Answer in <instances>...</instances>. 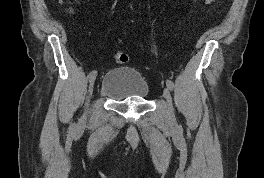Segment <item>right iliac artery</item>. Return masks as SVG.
I'll use <instances>...</instances> for the list:
<instances>
[{"label": "right iliac artery", "instance_id": "right-iliac-artery-1", "mask_svg": "<svg viewBox=\"0 0 264 178\" xmlns=\"http://www.w3.org/2000/svg\"><path fill=\"white\" fill-rule=\"evenodd\" d=\"M96 75H97V71L94 70V71L89 73L88 78L92 79L93 77H96Z\"/></svg>", "mask_w": 264, "mask_h": 178}]
</instances>
